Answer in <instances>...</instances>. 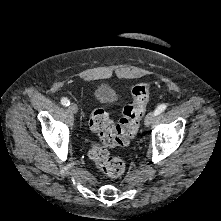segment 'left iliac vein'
<instances>
[{
  "mask_svg": "<svg viewBox=\"0 0 221 221\" xmlns=\"http://www.w3.org/2000/svg\"><path fill=\"white\" fill-rule=\"evenodd\" d=\"M155 112H149L146 117H145V121H144V124L145 126H150L151 123L153 122L154 118H155Z\"/></svg>",
  "mask_w": 221,
  "mask_h": 221,
  "instance_id": "obj_1",
  "label": "left iliac vein"
}]
</instances>
